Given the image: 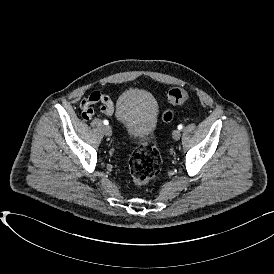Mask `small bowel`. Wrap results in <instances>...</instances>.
<instances>
[{
    "mask_svg": "<svg viewBox=\"0 0 274 274\" xmlns=\"http://www.w3.org/2000/svg\"><path fill=\"white\" fill-rule=\"evenodd\" d=\"M100 104V110L105 115H112L114 112V104L112 100L101 91H93L87 97L81 100L79 108L81 110L82 118L85 121L92 119L94 110L92 106Z\"/></svg>",
    "mask_w": 274,
    "mask_h": 274,
    "instance_id": "1",
    "label": "small bowel"
}]
</instances>
